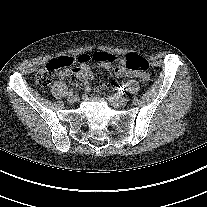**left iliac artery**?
<instances>
[{
	"mask_svg": "<svg viewBox=\"0 0 207 207\" xmlns=\"http://www.w3.org/2000/svg\"><path fill=\"white\" fill-rule=\"evenodd\" d=\"M121 97H122L124 100H127V99L130 97V94H129L128 92L121 93Z\"/></svg>",
	"mask_w": 207,
	"mask_h": 207,
	"instance_id": "1",
	"label": "left iliac artery"
}]
</instances>
